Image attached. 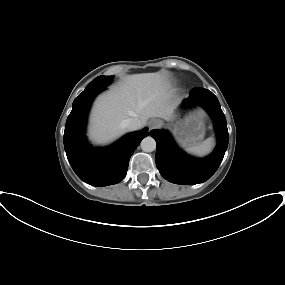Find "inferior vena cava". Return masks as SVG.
Returning a JSON list of instances; mask_svg holds the SVG:
<instances>
[{
  "instance_id": "inferior-vena-cava-1",
  "label": "inferior vena cava",
  "mask_w": 285,
  "mask_h": 285,
  "mask_svg": "<svg viewBox=\"0 0 285 285\" xmlns=\"http://www.w3.org/2000/svg\"><path fill=\"white\" fill-rule=\"evenodd\" d=\"M121 125L129 131H134L139 129L142 124L141 121L137 118H128L123 120Z\"/></svg>"
}]
</instances>
